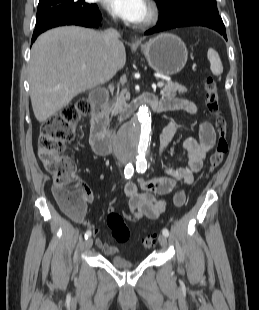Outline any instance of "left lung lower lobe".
<instances>
[{"label":"left lung lower lobe","instance_id":"0a47b994","mask_svg":"<svg viewBox=\"0 0 259 310\" xmlns=\"http://www.w3.org/2000/svg\"><path fill=\"white\" fill-rule=\"evenodd\" d=\"M184 26H205L217 31L227 40L226 29L221 17L219 15H211L205 13L190 14L174 21H170L164 24H158L154 28L146 31L145 34L150 35L171 28Z\"/></svg>","mask_w":259,"mask_h":310}]
</instances>
